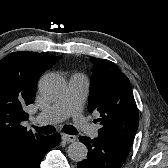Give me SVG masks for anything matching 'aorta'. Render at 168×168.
I'll return each instance as SVG.
<instances>
[{
	"label": "aorta",
	"instance_id": "aorta-1",
	"mask_svg": "<svg viewBox=\"0 0 168 168\" xmlns=\"http://www.w3.org/2000/svg\"><path fill=\"white\" fill-rule=\"evenodd\" d=\"M65 90L64 79L55 73L44 75L39 82V91L41 95L49 101L58 99ZM68 156L75 162H80L86 159L88 149L81 142H73L68 146Z\"/></svg>",
	"mask_w": 168,
	"mask_h": 168
}]
</instances>
